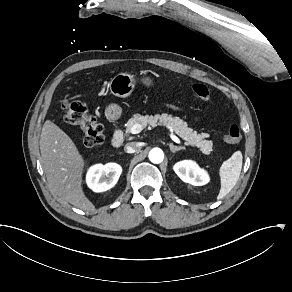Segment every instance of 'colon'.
<instances>
[{
  "instance_id": "5ec220e1",
  "label": "colon",
  "mask_w": 292,
  "mask_h": 292,
  "mask_svg": "<svg viewBox=\"0 0 292 292\" xmlns=\"http://www.w3.org/2000/svg\"><path fill=\"white\" fill-rule=\"evenodd\" d=\"M193 93L201 100L210 101L211 91L203 84H194ZM60 115L72 125L79 126L84 133V144L88 147L98 146L104 141L103 126L92 116L86 105L77 100H64L60 105ZM230 143H236L241 138V131L237 125H231L225 136Z\"/></svg>"
}]
</instances>
